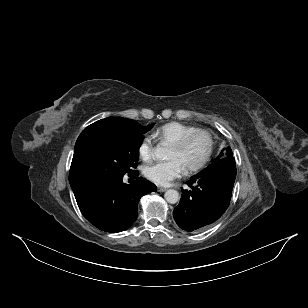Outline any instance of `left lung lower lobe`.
Instances as JSON below:
<instances>
[{"label":"left lung lower lobe","instance_id":"obj_1","mask_svg":"<svg viewBox=\"0 0 308 308\" xmlns=\"http://www.w3.org/2000/svg\"><path fill=\"white\" fill-rule=\"evenodd\" d=\"M235 178L234 158L224 157L187 181L191 190L182 188L181 201L173 211L178 226L195 232L220 218L229 206Z\"/></svg>","mask_w":308,"mask_h":308}]
</instances>
